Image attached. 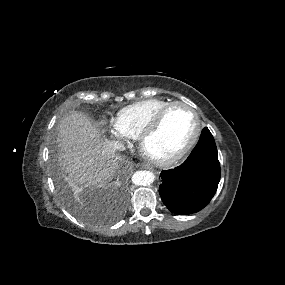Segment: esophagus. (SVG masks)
Instances as JSON below:
<instances>
[{"mask_svg":"<svg viewBox=\"0 0 285 285\" xmlns=\"http://www.w3.org/2000/svg\"><path fill=\"white\" fill-rule=\"evenodd\" d=\"M142 168L144 169H150V166L148 164H142Z\"/></svg>","mask_w":285,"mask_h":285,"instance_id":"1","label":"esophagus"}]
</instances>
